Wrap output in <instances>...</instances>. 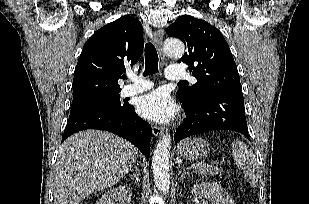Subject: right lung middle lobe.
I'll return each mask as SVG.
<instances>
[{
	"mask_svg": "<svg viewBox=\"0 0 309 204\" xmlns=\"http://www.w3.org/2000/svg\"><path fill=\"white\" fill-rule=\"evenodd\" d=\"M72 110H80L86 108H111L121 110L125 107L121 105L119 93H113L102 97L94 98L88 101L72 104Z\"/></svg>",
	"mask_w": 309,
	"mask_h": 204,
	"instance_id": "dd1d6c3e",
	"label": "right lung middle lobe"
}]
</instances>
